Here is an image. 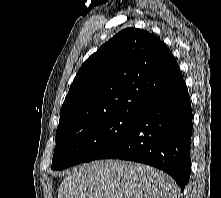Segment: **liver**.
<instances>
[{"label": "liver", "mask_w": 221, "mask_h": 198, "mask_svg": "<svg viewBox=\"0 0 221 198\" xmlns=\"http://www.w3.org/2000/svg\"><path fill=\"white\" fill-rule=\"evenodd\" d=\"M179 188L162 171L130 161H93L75 167L58 198H177Z\"/></svg>", "instance_id": "liver-1"}]
</instances>
